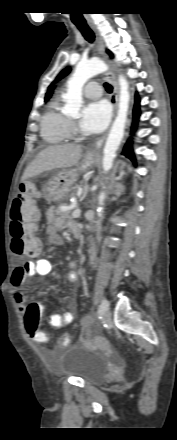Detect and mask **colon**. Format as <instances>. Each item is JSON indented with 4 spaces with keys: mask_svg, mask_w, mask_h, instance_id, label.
<instances>
[{
    "mask_svg": "<svg viewBox=\"0 0 177 440\" xmlns=\"http://www.w3.org/2000/svg\"><path fill=\"white\" fill-rule=\"evenodd\" d=\"M37 197L38 191L33 183L22 184L11 206V249L14 255L21 260L38 253L39 243L34 237L39 220V212L35 206ZM32 303L25 313V329L30 335V341L39 342V346L42 347L49 337L45 330H39L41 306H48L50 300L49 298H33ZM58 339H61V346H70L71 344V337L68 334H64L62 337L58 336Z\"/></svg>",
    "mask_w": 177,
    "mask_h": 440,
    "instance_id": "1",
    "label": "colon"
}]
</instances>
